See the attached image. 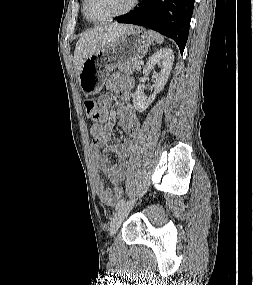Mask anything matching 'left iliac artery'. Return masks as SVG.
Segmentation results:
<instances>
[{
  "label": "left iliac artery",
  "mask_w": 253,
  "mask_h": 285,
  "mask_svg": "<svg viewBox=\"0 0 253 285\" xmlns=\"http://www.w3.org/2000/svg\"><path fill=\"white\" fill-rule=\"evenodd\" d=\"M125 199H121L118 203H117V205H116V209H119L121 206H123L124 204H125Z\"/></svg>",
  "instance_id": "1"
}]
</instances>
